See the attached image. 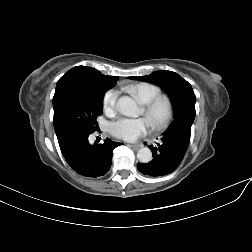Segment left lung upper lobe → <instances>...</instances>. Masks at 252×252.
I'll list each match as a JSON object with an SVG mask.
<instances>
[{
    "mask_svg": "<svg viewBox=\"0 0 252 252\" xmlns=\"http://www.w3.org/2000/svg\"><path fill=\"white\" fill-rule=\"evenodd\" d=\"M159 85L171 98L174 108V121L168 128L173 129L177 126H192L195 118L196 96L191 85L180 75L172 71H155L143 77H130Z\"/></svg>",
    "mask_w": 252,
    "mask_h": 252,
    "instance_id": "1",
    "label": "left lung upper lobe"
}]
</instances>
